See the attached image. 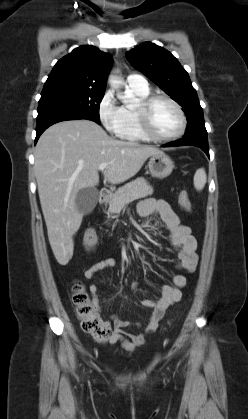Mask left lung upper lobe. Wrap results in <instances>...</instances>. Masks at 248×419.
Instances as JSON below:
<instances>
[{
  "mask_svg": "<svg viewBox=\"0 0 248 419\" xmlns=\"http://www.w3.org/2000/svg\"><path fill=\"white\" fill-rule=\"evenodd\" d=\"M126 58L131 65L178 102L185 112V134L205 129L203 110L188 73L178 60L164 48L145 42L128 51Z\"/></svg>",
  "mask_w": 248,
  "mask_h": 419,
  "instance_id": "5c2ea615",
  "label": "left lung upper lobe"
}]
</instances>
